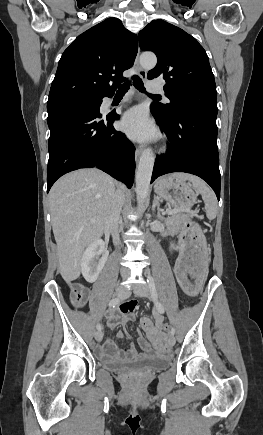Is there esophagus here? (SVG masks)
I'll list each match as a JSON object with an SVG mask.
<instances>
[{"label":"esophagus","mask_w":263,"mask_h":435,"mask_svg":"<svg viewBox=\"0 0 263 435\" xmlns=\"http://www.w3.org/2000/svg\"><path fill=\"white\" fill-rule=\"evenodd\" d=\"M134 67L137 70L139 76L141 78H145L146 77V71L141 67L140 62H139V50L135 59V63H134ZM142 153V148L141 147H136L135 150V159L138 160V158L140 157Z\"/></svg>","instance_id":"34e87169"}]
</instances>
